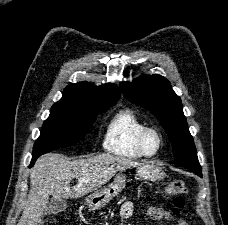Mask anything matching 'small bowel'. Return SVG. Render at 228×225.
<instances>
[{
    "mask_svg": "<svg viewBox=\"0 0 228 225\" xmlns=\"http://www.w3.org/2000/svg\"><path fill=\"white\" fill-rule=\"evenodd\" d=\"M134 214V207L133 204L129 201L123 203L121 207V215L124 219H129ZM147 216L156 221H163V220H172V216L162 208L158 207H149L147 209ZM176 225H187L183 221H177Z\"/></svg>",
    "mask_w": 228,
    "mask_h": 225,
    "instance_id": "obj_1",
    "label": "small bowel"
}]
</instances>
